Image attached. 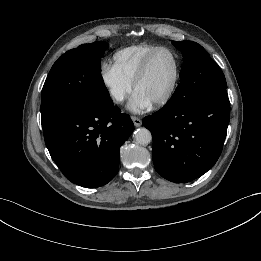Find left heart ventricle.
Instances as JSON below:
<instances>
[{
  "label": "left heart ventricle",
  "mask_w": 261,
  "mask_h": 261,
  "mask_svg": "<svg viewBox=\"0 0 261 261\" xmlns=\"http://www.w3.org/2000/svg\"><path fill=\"white\" fill-rule=\"evenodd\" d=\"M174 76V59L169 52L161 51L152 60L146 77L136 91L152 103L161 98L169 89Z\"/></svg>",
  "instance_id": "1"
}]
</instances>
